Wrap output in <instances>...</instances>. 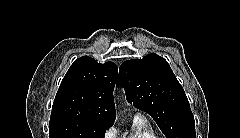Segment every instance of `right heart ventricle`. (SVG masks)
I'll use <instances>...</instances> for the list:
<instances>
[{
  "label": "right heart ventricle",
  "mask_w": 240,
  "mask_h": 138,
  "mask_svg": "<svg viewBox=\"0 0 240 138\" xmlns=\"http://www.w3.org/2000/svg\"><path fill=\"white\" fill-rule=\"evenodd\" d=\"M119 138H156L149 123L141 116H136L128 132L122 133Z\"/></svg>",
  "instance_id": "1"
}]
</instances>
